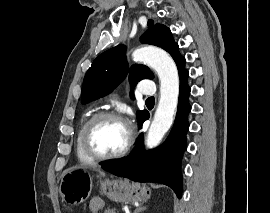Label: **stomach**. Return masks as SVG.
Returning a JSON list of instances; mask_svg holds the SVG:
<instances>
[{"label":"stomach","mask_w":270,"mask_h":213,"mask_svg":"<svg viewBox=\"0 0 270 213\" xmlns=\"http://www.w3.org/2000/svg\"><path fill=\"white\" fill-rule=\"evenodd\" d=\"M97 179L100 192L116 202H144L150 197L147 186L130 183L126 179H101L91 168H70L63 172L59 192L69 205L84 202L90 195Z\"/></svg>","instance_id":"stomach-1"}]
</instances>
